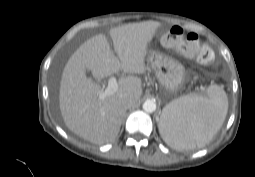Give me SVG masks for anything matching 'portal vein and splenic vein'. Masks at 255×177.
<instances>
[{
    "label": "portal vein and splenic vein",
    "instance_id": "obj_1",
    "mask_svg": "<svg viewBox=\"0 0 255 177\" xmlns=\"http://www.w3.org/2000/svg\"><path fill=\"white\" fill-rule=\"evenodd\" d=\"M118 90V83L116 77L112 76L108 80V86L107 88L100 92L99 98L101 100L105 99L108 96L113 95Z\"/></svg>",
    "mask_w": 255,
    "mask_h": 177
}]
</instances>
